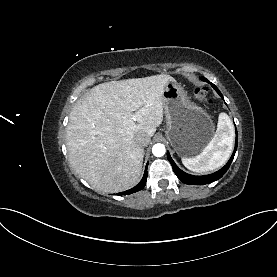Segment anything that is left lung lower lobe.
Here are the masks:
<instances>
[{
  "label": "left lung lower lobe",
  "mask_w": 277,
  "mask_h": 277,
  "mask_svg": "<svg viewBox=\"0 0 277 277\" xmlns=\"http://www.w3.org/2000/svg\"><path fill=\"white\" fill-rule=\"evenodd\" d=\"M201 79L203 81H206L209 84H211V86L216 90V92L223 98L221 92L218 90V88L214 84L209 82L204 77H202ZM237 141H238V138H237V132H236V142H235L234 152H233L231 158L229 159V161L227 162V164L222 169H220L219 171H217V172H215L213 174L205 175V176H194V175L187 174V173L183 172L181 169H179L177 167V165L174 163V161L172 160V158H171L169 153H167V158H168L169 162L171 163L175 174L177 175V177L183 183H185V184H192V185L209 184V183H212V182L220 179L226 173V171L228 170V168H229V166H230V164H231V162H232V160L234 158L235 152L237 150Z\"/></svg>",
  "instance_id": "obj_1"
}]
</instances>
